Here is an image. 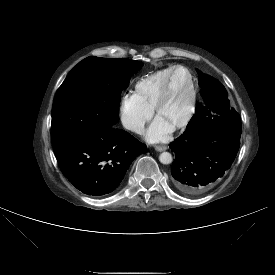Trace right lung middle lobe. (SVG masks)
<instances>
[{"label": "right lung middle lobe", "instance_id": "right-lung-middle-lobe-1", "mask_svg": "<svg viewBox=\"0 0 275 275\" xmlns=\"http://www.w3.org/2000/svg\"><path fill=\"white\" fill-rule=\"evenodd\" d=\"M143 64L130 59L90 56L59 87L52 108L53 145L64 138L112 128L121 91Z\"/></svg>", "mask_w": 275, "mask_h": 275}]
</instances>
